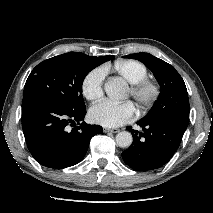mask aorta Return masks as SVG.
I'll list each match as a JSON object with an SVG mask.
<instances>
[{"label":"aorta","instance_id":"762f6f07","mask_svg":"<svg viewBox=\"0 0 213 213\" xmlns=\"http://www.w3.org/2000/svg\"><path fill=\"white\" fill-rule=\"evenodd\" d=\"M106 94L112 99L121 98L124 91V85L116 80H111L104 85ZM133 142L132 134L128 131L119 132L116 135V143L119 147L127 148Z\"/></svg>","mask_w":213,"mask_h":213}]
</instances>
